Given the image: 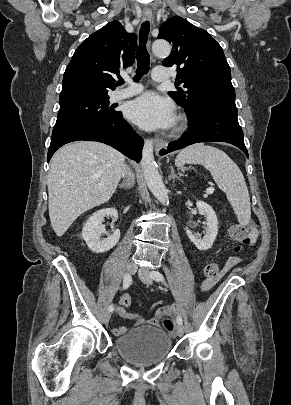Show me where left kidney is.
Listing matches in <instances>:
<instances>
[{"label": "left kidney", "mask_w": 291, "mask_h": 405, "mask_svg": "<svg viewBox=\"0 0 291 405\" xmlns=\"http://www.w3.org/2000/svg\"><path fill=\"white\" fill-rule=\"evenodd\" d=\"M196 206L200 215H204L207 221L206 233L203 238H198L190 230H187V236L190 241L199 249L207 250L212 245L218 233V220L213 208L203 201H197Z\"/></svg>", "instance_id": "1"}]
</instances>
